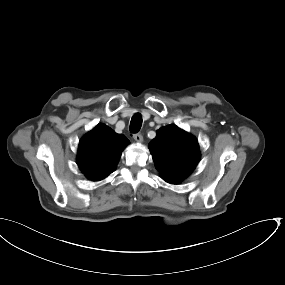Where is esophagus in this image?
<instances>
[{
    "label": "esophagus",
    "mask_w": 285,
    "mask_h": 285,
    "mask_svg": "<svg viewBox=\"0 0 285 285\" xmlns=\"http://www.w3.org/2000/svg\"><path fill=\"white\" fill-rule=\"evenodd\" d=\"M133 138H134V140L136 141V142H143V137H142V135L140 134V133H136V134H134L133 135Z\"/></svg>",
    "instance_id": "esophagus-1"
}]
</instances>
